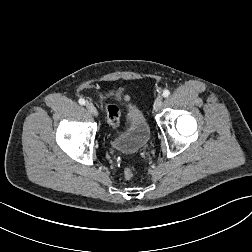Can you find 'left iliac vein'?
<instances>
[{
    "label": "left iliac vein",
    "mask_w": 252,
    "mask_h": 252,
    "mask_svg": "<svg viewBox=\"0 0 252 252\" xmlns=\"http://www.w3.org/2000/svg\"><path fill=\"white\" fill-rule=\"evenodd\" d=\"M162 104H163V97L158 96L154 102V105H153L154 110H156V111L159 110L161 108Z\"/></svg>",
    "instance_id": "left-iliac-vein-1"
}]
</instances>
